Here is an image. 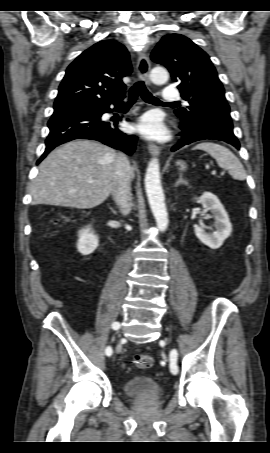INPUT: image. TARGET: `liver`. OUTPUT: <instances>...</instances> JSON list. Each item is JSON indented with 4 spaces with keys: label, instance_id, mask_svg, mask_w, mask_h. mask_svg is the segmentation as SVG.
<instances>
[{
    "label": "liver",
    "instance_id": "liver-1",
    "mask_svg": "<svg viewBox=\"0 0 270 453\" xmlns=\"http://www.w3.org/2000/svg\"><path fill=\"white\" fill-rule=\"evenodd\" d=\"M116 156L109 147L90 140L71 141L53 150L32 183V204L78 209L102 204L112 190Z\"/></svg>",
    "mask_w": 270,
    "mask_h": 453
}]
</instances>
